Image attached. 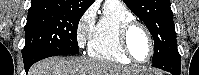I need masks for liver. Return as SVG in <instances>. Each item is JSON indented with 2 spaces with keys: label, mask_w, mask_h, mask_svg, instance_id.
<instances>
[{
  "label": "liver",
  "mask_w": 199,
  "mask_h": 75,
  "mask_svg": "<svg viewBox=\"0 0 199 75\" xmlns=\"http://www.w3.org/2000/svg\"><path fill=\"white\" fill-rule=\"evenodd\" d=\"M138 72L104 60L52 57L35 63L28 75H135Z\"/></svg>",
  "instance_id": "liver-1"
}]
</instances>
